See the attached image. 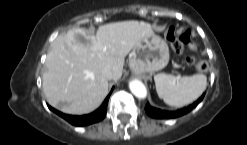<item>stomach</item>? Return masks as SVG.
Masks as SVG:
<instances>
[{
  "mask_svg": "<svg viewBox=\"0 0 247 145\" xmlns=\"http://www.w3.org/2000/svg\"><path fill=\"white\" fill-rule=\"evenodd\" d=\"M169 48L165 40L154 33L144 37L129 54V66L135 74L153 73L167 66Z\"/></svg>",
  "mask_w": 247,
  "mask_h": 145,
  "instance_id": "stomach-1",
  "label": "stomach"
}]
</instances>
